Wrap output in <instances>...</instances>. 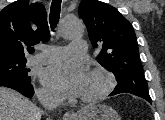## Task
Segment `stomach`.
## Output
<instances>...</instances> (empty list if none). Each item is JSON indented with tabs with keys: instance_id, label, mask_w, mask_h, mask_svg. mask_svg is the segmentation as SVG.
<instances>
[{
	"instance_id": "obj_1",
	"label": "stomach",
	"mask_w": 165,
	"mask_h": 120,
	"mask_svg": "<svg viewBox=\"0 0 165 120\" xmlns=\"http://www.w3.org/2000/svg\"><path fill=\"white\" fill-rule=\"evenodd\" d=\"M74 120H121V118L112 107L96 104L83 108Z\"/></svg>"
}]
</instances>
